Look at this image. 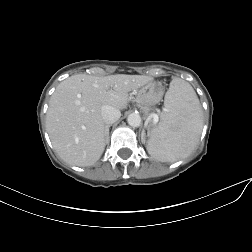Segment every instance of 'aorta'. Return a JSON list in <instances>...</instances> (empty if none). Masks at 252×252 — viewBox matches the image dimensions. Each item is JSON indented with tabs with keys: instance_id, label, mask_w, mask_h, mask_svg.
I'll return each instance as SVG.
<instances>
[{
	"instance_id": "aorta-1",
	"label": "aorta",
	"mask_w": 252,
	"mask_h": 252,
	"mask_svg": "<svg viewBox=\"0 0 252 252\" xmlns=\"http://www.w3.org/2000/svg\"><path fill=\"white\" fill-rule=\"evenodd\" d=\"M127 122L132 127H139L141 125V117L137 113H131L127 118Z\"/></svg>"
}]
</instances>
